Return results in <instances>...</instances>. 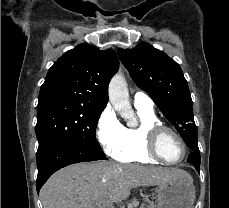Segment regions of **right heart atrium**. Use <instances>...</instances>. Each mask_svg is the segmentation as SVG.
<instances>
[{
    "mask_svg": "<svg viewBox=\"0 0 229 208\" xmlns=\"http://www.w3.org/2000/svg\"><path fill=\"white\" fill-rule=\"evenodd\" d=\"M95 135L103 150L110 154L123 144V126L111 108L106 107L100 113Z\"/></svg>",
    "mask_w": 229,
    "mask_h": 208,
    "instance_id": "1",
    "label": "right heart atrium"
}]
</instances>
